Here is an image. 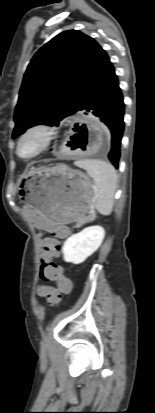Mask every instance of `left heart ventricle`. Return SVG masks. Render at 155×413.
<instances>
[{
    "mask_svg": "<svg viewBox=\"0 0 155 413\" xmlns=\"http://www.w3.org/2000/svg\"><path fill=\"white\" fill-rule=\"evenodd\" d=\"M42 141L40 134L27 137L20 145V154L24 157L32 155L40 146Z\"/></svg>",
    "mask_w": 155,
    "mask_h": 413,
    "instance_id": "left-heart-ventricle-1",
    "label": "left heart ventricle"
}]
</instances>
